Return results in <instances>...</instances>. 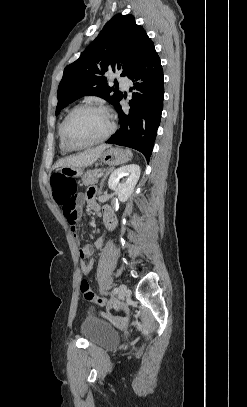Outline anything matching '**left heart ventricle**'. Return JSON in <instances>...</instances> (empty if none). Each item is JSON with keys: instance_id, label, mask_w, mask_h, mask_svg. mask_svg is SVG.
Instances as JSON below:
<instances>
[{"instance_id": "left-heart-ventricle-1", "label": "left heart ventricle", "mask_w": 247, "mask_h": 407, "mask_svg": "<svg viewBox=\"0 0 247 407\" xmlns=\"http://www.w3.org/2000/svg\"><path fill=\"white\" fill-rule=\"evenodd\" d=\"M109 128L107 116L98 110H81L67 125L66 135L74 144H85L103 136Z\"/></svg>"}]
</instances>
